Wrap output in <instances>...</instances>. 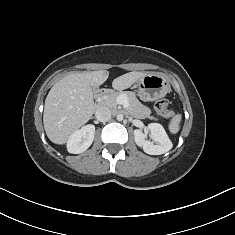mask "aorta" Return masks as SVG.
<instances>
[{
  "label": "aorta",
  "mask_w": 235,
  "mask_h": 235,
  "mask_svg": "<svg viewBox=\"0 0 235 235\" xmlns=\"http://www.w3.org/2000/svg\"><path fill=\"white\" fill-rule=\"evenodd\" d=\"M123 118H124V117H123V115H122V114H118V115H117V120H118V121H122V120H123Z\"/></svg>",
  "instance_id": "1"
}]
</instances>
